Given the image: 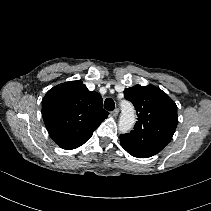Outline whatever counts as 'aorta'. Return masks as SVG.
<instances>
[{
  "label": "aorta",
  "mask_w": 211,
  "mask_h": 211,
  "mask_svg": "<svg viewBox=\"0 0 211 211\" xmlns=\"http://www.w3.org/2000/svg\"><path fill=\"white\" fill-rule=\"evenodd\" d=\"M121 108L122 113L119 118L118 126L121 133H126L131 130L135 123L134 109L129 102H122Z\"/></svg>",
  "instance_id": "762f6f07"
}]
</instances>
